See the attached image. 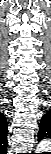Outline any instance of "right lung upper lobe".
Returning a JSON list of instances; mask_svg holds the SVG:
<instances>
[{"label":"right lung upper lobe","instance_id":"right-lung-upper-lobe-1","mask_svg":"<svg viewBox=\"0 0 51 154\" xmlns=\"http://www.w3.org/2000/svg\"><path fill=\"white\" fill-rule=\"evenodd\" d=\"M2 117H3V124H4V130H5V132L7 131V122H6V118L4 117V115H2Z\"/></svg>","mask_w":51,"mask_h":154}]
</instances>
